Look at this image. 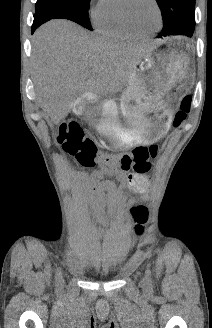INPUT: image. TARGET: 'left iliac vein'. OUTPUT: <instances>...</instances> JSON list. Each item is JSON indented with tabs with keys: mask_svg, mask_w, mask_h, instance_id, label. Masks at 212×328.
<instances>
[{
	"mask_svg": "<svg viewBox=\"0 0 212 328\" xmlns=\"http://www.w3.org/2000/svg\"><path fill=\"white\" fill-rule=\"evenodd\" d=\"M146 281V279L145 278H143V282H145Z\"/></svg>",
	"mask_w": 212,
	"mask_h": 328,
	"instance_id": "4c4485c4",
	"label": "left iliac vein"
}]
</instances>
